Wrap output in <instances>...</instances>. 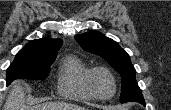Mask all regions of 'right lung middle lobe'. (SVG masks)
Instances as JSON below:
<instances>
[{
  "mask_svg": "<svg viewBox=\"0 0 171 110\" xmlns=\"http://www.w3.org/2000/svg\"><path fill=\"white\" fill-rule=\"evenodd\" d=\"M55 58L56 56L34 57L17 54L13 63L7 69V84L19 78L33 80H43L47 78L50 65Z\"/></svg>",
  "mask_w": 171,
  "mask_h": 110,
  "instance_id": "dd1d6c3e",
  "label": "right lung middle lobe"
}]
</instances>
